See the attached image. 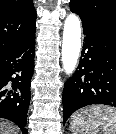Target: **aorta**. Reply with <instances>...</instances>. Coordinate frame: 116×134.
Returning <instances> with one entry per match:
<instances>
[{
    "mask_svg": "<svg viewBox=\"0 0 116 134\" xmlns=\"http://www.w3.org/2000/svg\"><path fill=\"white\" fill-rule=\"evenodd\" d=\"M81 48V22L75 14H70L64 22L62 42V63L65 73L73 74Z\"/></svg>",
    "mask_w": 116,
    "mask_h": 134,
    "instance_id": "aorta-1",
    "label": "aorta"
}]
</instances>
